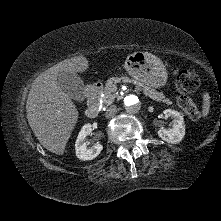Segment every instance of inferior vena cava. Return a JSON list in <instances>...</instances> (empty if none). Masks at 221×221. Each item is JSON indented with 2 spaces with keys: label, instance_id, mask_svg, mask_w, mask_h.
<instances>
[{
  "label": "inferior vena cava",
  "instance_id": "1",
  "mask_svg": "<svg viewBox=\"0 0 221 221\" xmlns=\"http://www.w3.org/2000/svg\"><path fill=\"white\" fill-rule=\"evenodd\" d=\"M116 113H117V107L115 105H112L106 110L105 116L106 118L109 119L114 117Z\"/></svg>",
  "mask_w": 221,
  "mask_h": 221
}]
</instances>
